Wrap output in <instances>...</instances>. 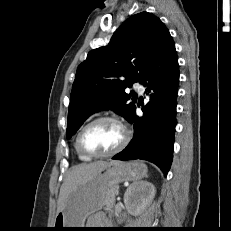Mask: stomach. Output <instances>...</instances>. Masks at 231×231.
<instances>
[{
	"instance_id": "obj_1",
	"label": "stomach",
	"mask_w": 231,
	"mask_h": 231,
	"mask_svg": "<svg viewBox=\"0 0 231 231\" xmlns=\"http://www.w3.org/2000/svg\"><path fill=\"white\" fill-rule=\"evenodd\" d=\"M146 175L147 166L143 162L108 163L105 168L99 170L70 194L63 210L55 217L53 230L84 228L86 218L105 206L104 201L111 188L118 189L119 183L141 180Z\"/></svg>"
}]
</instances>
